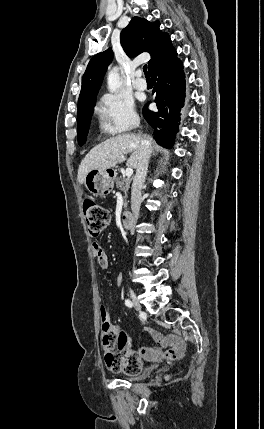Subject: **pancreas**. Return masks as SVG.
Masks as SVG:
<instances>
[{
  "label": "pancreas",
  "mask_w": 264,
  "mask_h": 429,
  "mask_svg": "<svg viewBox=\"0 0 264 429\" xmlns=\"http://www.w3.org/2000/svg\"><path fill=\"white\" fill-rule=\"evenodd\" d=\"M115 182H116V187L124 193V198H125L124 208H126L128 204L126 198L128 196L127 193L130 188L131 179L129 177L120 176L116 178Z\"/></svg>",
  "instance_id": "1"
}]
</instances>
